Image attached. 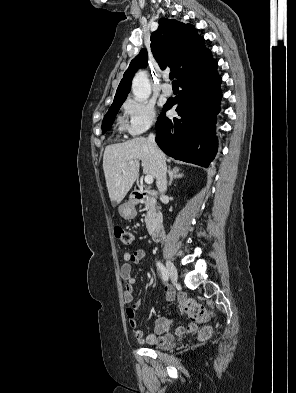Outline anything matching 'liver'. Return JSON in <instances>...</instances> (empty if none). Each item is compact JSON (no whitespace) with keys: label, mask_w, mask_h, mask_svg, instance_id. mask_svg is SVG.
<instances>
[{"label":"liver","mask_w":296,"mask_h":393,"mask_svg":"<svg viewBox=\"0 0 296 393\" xmlns=\"http://www.w3.org/2000/svg\"><path fill=\"white\" fill-rule=\"evenodd\" d=\"M140 161L143 173L156 178L157 166L146 138L138 137L105 148L103 170L112 202L120 203L131 189L139 174Z\"/></svg>","instance_id":"6515ba94"}]
</instances>
